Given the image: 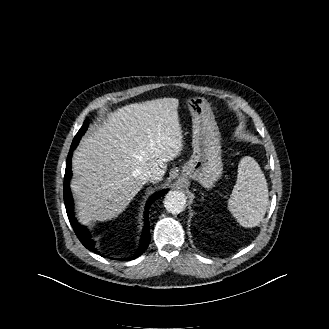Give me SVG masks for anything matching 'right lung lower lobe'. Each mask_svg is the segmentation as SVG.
<instances>
[{"label": "right lung lower lobe", "mask_w": 329, "mask_h": 329, "mask_svg": "<svg viewBox=\"0 0 329 329\" xmlns=\"http://www.w3.org/2000/svg\"><path fill=\"white\" fill-rule=\"evenodd\" d=\"M75 147L70 149V151L68 153L67 161H66V169H65L64 185H63V187H64V203H65V207H66V212H67V216L70 221V224H71L72 228L74 229L78 239L81 241V243L90 251H93V252H96L99 254V252L96 251L95 243L91 239L89 231L86 229V227L80 225L74 217L73 199H72V194H71L70 187H69V180L72 175L71 157H72V152L75 149ZM167 191H168L167 189L162 190L150 197L149 201L146 204V208H145V214H144L145 215V217H144L145 226H144V230L142 232V236H141V240H140V247L133 257H129L128 259H125V260H132V259L139 257L144 252V250L148 247L149 242H150V231H149V221H148L149 208L156 199H158L160 196L167 193Z\"/></svg>", "instance_id": "obj_1"}]
</instances>
